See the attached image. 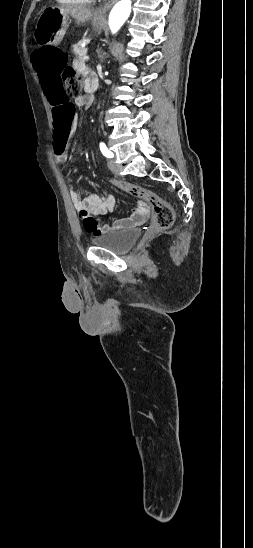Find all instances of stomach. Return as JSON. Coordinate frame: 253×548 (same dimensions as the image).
I'll return each mask as SVG.
<instances>
[{"label":"stomach","mask_w":253,"mask_h":548,"mask_svg":"<svg viewBox=\"0 0 253 548\" xmlns=\"http://www.w3.org/2000/svg\"><path fill=\"white\" fill-rule=\"evenodd\" d=\"M92 25L96 31L100 30L101 21L94 18ZM67 26V15L59 9L50 8L45 10L37 25L36 40L40 44L59 43L65 33Z\"/></svg>","instance_id":"0dacf381"}]
</instances>
